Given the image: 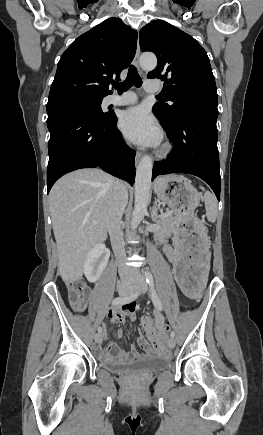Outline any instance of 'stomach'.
I'll return each mask as SVG.
<instances>
[{"label":"stomach","instance_id":"1","mask_svg":"<svg viewBox=\"0 0 263 435\" xmlns=\"http://www.w3.org/2000/svg\"><path fill=\"white\" fill-rule=\"evenodd\" d=\"M154 191L163 201L177 209L181 224L173 225L176 246L181 247L182 260L177 261L173 276L183 299H200L208 288L207 262L210 260V239L203 216H198L200 194L191 182L181 176H164L156 180Z\"/></svg>","mask_w":263,"mask_h":435}]
</instances>
